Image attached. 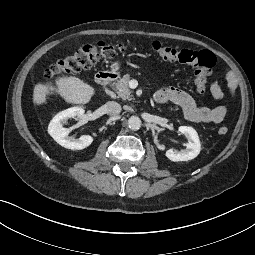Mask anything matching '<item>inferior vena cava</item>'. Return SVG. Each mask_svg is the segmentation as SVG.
I'll return each mask as SVG.
<instances>
[{
	"label": "inferior vena cava",
	"mask_w": 255,
	"mask_h": 255,
	"mask_svg": "<svg viewBox=\"0 0 255 255\" xmlns=\"http://www.w3.org/2000/svg\"><path fill=\"white\" fill-rule=\"evenodd\" d=\"M105 108L107 114L110 116H117L122 110L120 104L114 101L107 102Z\"/></svg>",
	"instance_id": "1"
}]
</instances>
